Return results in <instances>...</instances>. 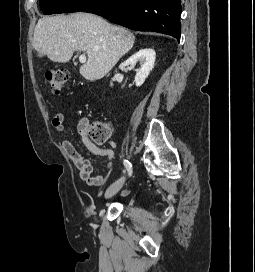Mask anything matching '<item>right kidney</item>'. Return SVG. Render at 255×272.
<instances>
[{
    "mask_svg": "<svg viewBox=\"0 0 255 272\" xmlns=\"http://www.w3.org/2000/svg\"><path fill=\"white\" fill-rule=\"evenodd\" d=\"M155 58L156 53L153 49L150 48L141 49L135 54H133L131 57H129L126 61H124L121 64V67L129 65L134 66L139 61L141 66L136 73L135 84L136 86H141L145 82L148 75L150 74V71L153 69Z\"/></svg>",
    "mask_w": 255,
    "mask_h": 272,
    "instance_id": "obj_1",
    "label": "right kidney"
}]
</instances>
